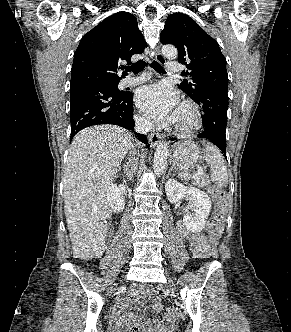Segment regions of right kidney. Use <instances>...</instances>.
<instances>
[{
  "instance_id": "1",
  "label": "right kidney",
  "mask_w": 291,
  "mask_h": 332,
  "mask_svg": "<svg viewBox=\"0 0 291 332\" xmlns=\"http://www.w3.org/2000/svg\"><path fill=\"white\" fill-rule=\"evenodd\" d=\"M107 200L113 212L119 213L124 209L125 199L113 183L107 189Z\"/></svg>"
}]
</instances>
